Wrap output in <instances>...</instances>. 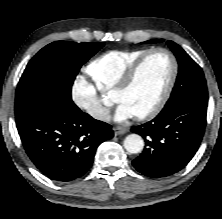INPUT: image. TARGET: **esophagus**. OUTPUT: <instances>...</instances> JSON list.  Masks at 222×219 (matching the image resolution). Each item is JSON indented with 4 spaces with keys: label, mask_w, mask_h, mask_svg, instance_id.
<instances>
[{
    "label": "esophagus",
    "mask_w": 222,
    "mask_h": 219,
    "mask_svg": "<svg viewBox=\"0 0 222 219\" xmlns=\"http://www.w3.org/2000/svg\"><path fill=\"white\" fill-rule=\"evenodd\" d=\"M113 131H114L115 135H121V134H124V133L128 132V129L124 128V127H121V126H115L113 128Z\"/></svg>",
    "instance_id": "obj_1"
}]
</instances>
